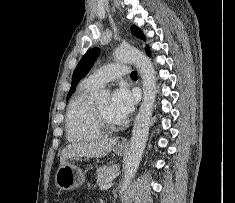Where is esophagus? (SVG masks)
I'll return each mask as SVG.
<instances>
[{"label":"esophagus","instance_id":"esophagus-1","mask_svg":"<svg viewBox=\"0 0 235 203\" xmlns=\"http://www.w3.org/2000/svg\"><path fill=\"white\" fill-rule=\"evenodd\" d=\"M122 144H123V145H127V142H126V141H123Z\"/></svg>","mask_w":235,"mask_h":203}]
</instances>
